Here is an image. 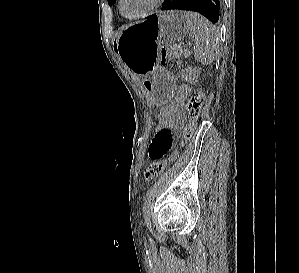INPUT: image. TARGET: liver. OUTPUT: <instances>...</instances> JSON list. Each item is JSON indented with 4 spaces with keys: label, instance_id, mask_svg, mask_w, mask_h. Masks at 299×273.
<instances>
[{
    "label": "liver",
    "instance_id": "obj_1",
    "mask_svg": "<svg viewBox=\"0 0 299 273\" xmlns=\"http://www.w3.org/2000/svg\"><path fill=\"white\" fill-rule=\"evenodd\" d=\"M131 25H133V24H130V25H127V26H123V27L121 28V30L123 31L124 29H126L127 27H129V26H131Z\"/></svg>",
    "mask_w": 299,
    "mask_h": 273
}]
</instances>
